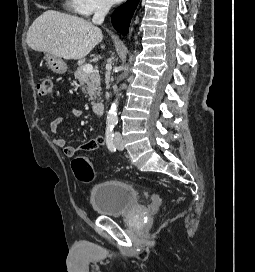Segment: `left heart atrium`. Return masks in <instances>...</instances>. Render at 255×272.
Wrapping results in <instances>:
<instances>
[{"label": "left heart atrium", "mask_w": 255, "mask_h": 272, "mask_svg": "<svg viewBox=\"0 0 255 272\" xmlns=\"http://www.w3.org/2000/svg\"><path fill=\"white\" fill-rule=\"evenodd\" d=\"M110 1L113 2V3H116V2H120L122 0H110Z\"/></svg>", "instance_id": "1"}]
</instances>
